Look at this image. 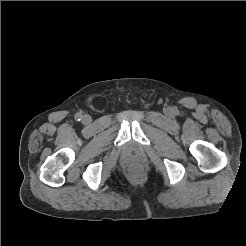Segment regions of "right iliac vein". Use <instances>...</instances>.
Returning a JSON list of instances; mask_svg holds the SVG:
<instances>
[{
  "label": "right iliac vein",
  "mask_w": 246,
  "mask_h": 246,
  "mask_svg": "<svg viewBox=\"0 0 246 246\" xmlns=\"http://www.w3.org/2000/svg\"><path fill=\"white\" fill-rule=\"evenodd\" d=\"M82 122L85 123V124H88L91 122V117L89 115H84L82 117Z\"/></svg>",
  "instance_id": "1"
}]
</instances>
